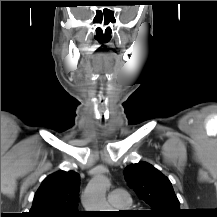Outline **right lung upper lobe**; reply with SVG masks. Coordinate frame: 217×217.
Returning a JSON list of instances; mask_svg holds the SVG:
<instances>
[{
  "mask_svg": "<svg viewBox=\"0 0 217 217\" xmlns=\"http://www.w3.org/2000/svg\"><path fill=\"white\" fill-rule=\"evenodd\" d=\"M79 174L58 171L44 179L37 190L28 217L79 216L77 198Z\"/></svg>",
  "mask_w": 217,
  "mask_h": 217,
  "instance_id": "1",
  "label": "right lung upper lobe"
}]
</instances>
